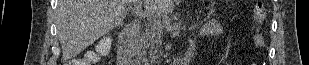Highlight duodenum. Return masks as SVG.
Here are the masks:
<instances>
[{"label":"duodenum","mask_w":309,"mask_h":65,"mask_svg":"<svg viewBox=\"0 0 309 65\" xmlns=\"http://www.w3.org/2000/svg\"><path fill=\"white\" fill-rule=\"evenodd\" d=\"M137 35V27L134 25L128 26L119 36L117 60L118 65H135L132 62V48ZM193 55L192 48H188L186 52L179 58L178 65H186Z\"/></svg>","instance_id":"1"}]
</instances>
